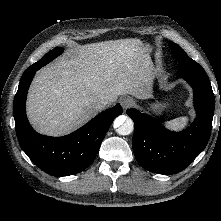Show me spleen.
<instances>
[{
  "mask_svg": "<svg viewBox=\"0 0 221 221\" xmlns=\"http://www.w3.org/2000/svg\"><path fill=\"white\" fill-rule=\"evenodd\" d=\"M188 122H189V117L186 116V117H180V118H176L171 121H168L166 122V125L173 130H178V129L186 127Z\"/></svg>",
  "mask_w": 221,
  "mask_h": 221,
  "instance_id": "3e777b00",
  "label": "spleen"
}]
</instances>
